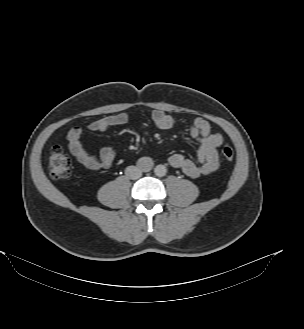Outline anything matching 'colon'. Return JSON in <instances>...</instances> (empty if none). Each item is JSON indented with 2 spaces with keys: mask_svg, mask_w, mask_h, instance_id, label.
Wrapping results in <instances>:
<instances>
[{
  "mask_svg": "<svg viewBox=\"0 0 304 329\" xmlns=\"http://www.w3.org/2000/svg\"><path fill=\"white\" fill-rule=\"evenodd\" d=\"M221 155L225 160H232L234 157L233 148L226 144L221 147ZM49 173L52 179H67L71 175V159L60 146L51 149L49 156Z\"/></svg>",
  "mask_w": 304,
  "mask_h": 329,
  "instance_id": "1",
  "label": "colon"
}]
</instances>
